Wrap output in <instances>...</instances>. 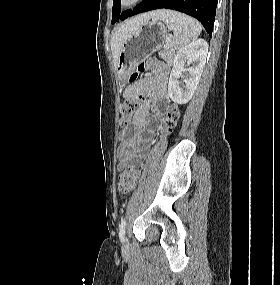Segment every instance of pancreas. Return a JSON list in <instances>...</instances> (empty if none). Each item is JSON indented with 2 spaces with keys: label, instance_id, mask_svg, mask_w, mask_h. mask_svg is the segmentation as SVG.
Listing matches in <instances>:
<instances>
[{
  "label": "pancreas",
  "instance_id": "1",
  "mask_svg": "<svg viewBox=\"0 0 280 285\" xmlns=\"http://www.w3.org/2000/svg\"><path fill=\"white\" fill-rule=\"evenodd\" d=\"M174 55L175 51L173 49H169V46L168 47L165 46V49L160 53L162 59H164L169 64L172 63Z\"/></svg>",
  "mask_w": 280,
  "mask_h": 285
}]
</instances>
